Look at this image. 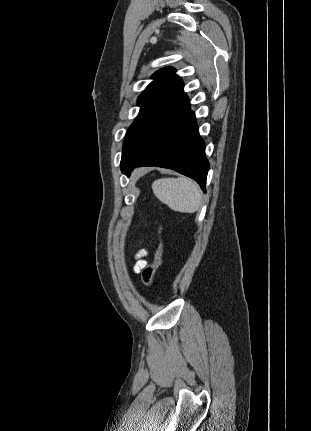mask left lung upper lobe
Instances as JSON below:
<instances>
[{"label":"left lung upper lobe","mask_w":311,"mask_h":431,"mask_svg":"<svg viewBox=\"0 0 311 431\" xmlns=\"http://www.w3.org/2000/svg\"><path fill=\"white\" fill-rule=\"evenodd\" d=\"M172 67L157 71L152 78L155 80L148 85L139 96L138 105L141 107L135 121L129 127L123 143L122 153L125 152L148 121L184 86L181 78L174 74Z\"/></svg>","instance_id":"1"}]
</instances>
